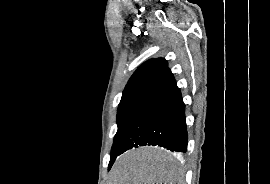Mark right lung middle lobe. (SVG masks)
<instances>
[{
    "mask_svg": "<svg viewBox=\"0 0 270 184\" xmlns=\"http://www.w3.org/2000/svg\"><path fill=\"white\" fill-rule=\"evenodd\" d=\"M148 99L149 97L146 96H136L121 100L117 114L118 130L114 137L109 168L112 166L116 157L119 155L121 145L126 138L131 125L133 124L134 120Z\"/></svg>",
    "mask_w": 270,
    "mask_h": 184,
    "instance_id": "right-lung-middle-lobe-1",
    "label": "right lung middle lobe"
}]
</instances>
